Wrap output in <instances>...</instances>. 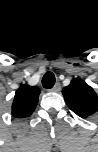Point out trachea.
Listing matches in <instances>:
<instances>
[{"label": "trachea", "instance_id": "1", "mask_svg": "<svg viewBox=\"0 0 98 152\" xmlns=\"http://www.w3.org/2000/svg\"><path fill=\"white\" fill-rule=\"evenodd\" d=\"M55 80V75L52 72H47L42 78V85L44 88H52Z\"/></svg>", "mask_w": 98, "mask_h": 152}]
</instances>
